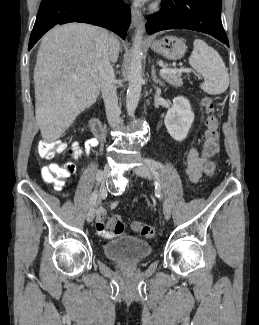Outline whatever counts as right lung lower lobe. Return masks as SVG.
<instances>
[{"mask_svg":"<svg viewBox=\"0 0 259 325\" xmlns=\"http://www.w3.org/2000/svg\"><path fill=\"white\" fill-rule=\"evenodd\" d=\"M130 16V8L120 0H43L28 50L56 24L73 21L106 27L125 39Z\"/></svg>","mask_w":259,"mask_h":325,"instance_id":"1","label":"right lung lower lobe"}]
</instances>
